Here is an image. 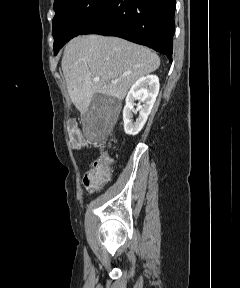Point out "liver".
Listing matches in <instances>:
<instances>
[{
    "instance_id": "1",
    "label": "liver",
    "mask_w": 240,
    "mask_h": 288,
    "mask_svg": "<svg viewBox=\"0 0 240 288\" xmlns=\"http://www.w3.org/2000/svg\"><path fill=\"white\" fill-rule=\"evenodd\" d=\"M61 65L69 96L85 114L95 94L122 100L138 79L159 68L160 58L118 37L84 35L68 43ZM97 76L99 81H93Z\"/></svg>"
}]
</instances>
